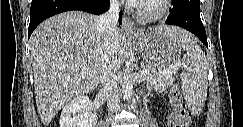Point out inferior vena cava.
Returning a JSON list of instances; mask_svg holds the SVG:
<instances>
[{"label":"inferior vena cava","instance_id":"1","mask_svg":"<svg viewBox=\"0 0 243 127\" xmlns=\"http://www.w3.org/2000/svg\"><path fill=\"white\" fill-rule=\"evenodd\" d=\"M119 6V0H111L109 9L99 19V26L105 33L102 44L99 80L103 89L110 93L108 98V109L111 112L118 109V61L114 37L117 31Z\"/></svg>","mask_w":243,"mask_h":127}]
</instances>
